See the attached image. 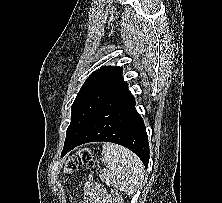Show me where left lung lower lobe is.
Instances as JSON below:
<instances>
[{
    "label": "left lung lower lobe",
    "instance_id": "obj_1",
    "mask_svg": "<svg viewBox=\"0 0 222 203\" xmlns=\"http://www.w3.org/2000/svg\"><path fill=\"white\" fill-rule=\"evenodd\" d=\"M105 141L120 144L149 162V144L144 122L135 110V99L125 83L110 96L91 118L82 132L65 144L61 156L87 142Z\"/></svg>",
    "mask_w": 222,
    "mask_h": 203
}]
</instances>
